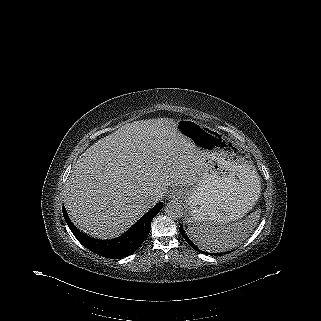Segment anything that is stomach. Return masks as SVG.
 I'll use <instances>...</instances> for the list:
<instances>
[{
	"mask_svg": "<svg viewBox=\"0 0 321 321\" xmlns=\"http://www.w3.org/2000/svg\"><path fill=\"white\" fill-rule=\"evenodd\" d=\"M176 127L199 150L204 165L194 186L176 191L188 206L187 221L228 224L240 220L256 204L261 188L249 154L194 120H178Z\"/></svg>",
	"mask_w": 321,
	"mask_h": 321,
	"instance_id": "stomach-1",
	"label": "stomach"
}]
</instances>
